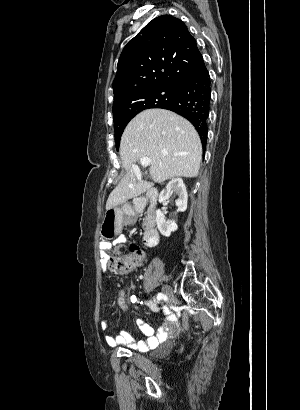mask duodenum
Listing matches in <instances>:
<instances>
[{"instance_id":"1","label":"duodenum","mask_w":300,"mask_h":410,"mask_svg":"<svg viewBox=\"0 0 300 410\" xmlns=\"http://www.w3.org/2000/svg\"><path fill=\"white\" fill-rule=\"evenodd\" d=\"M159 192L157 190H151L148 194L150 202L154 204L158 199ZM159 241V231L156 226V214L154 208L148 209L146 219V229L143 236V243L147 247H155Z\"/></svg>"}]
</instances>
